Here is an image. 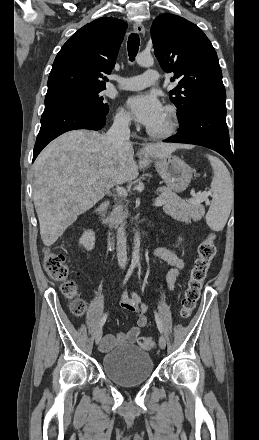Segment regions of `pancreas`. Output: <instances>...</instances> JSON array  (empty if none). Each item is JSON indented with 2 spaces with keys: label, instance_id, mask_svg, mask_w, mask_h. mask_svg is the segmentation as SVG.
<instances>
[{
  "label": "pancreas",
  "instance_id": "obj_1",
  "mask_svg": "<svg viewBox=\"0 0 259 440\" xmlns=\"http://www.w3.org/2000/svg\"><path fill=\"white\" fill-rule=\"evenodd\" d=\"M158 192L161 193V196L157 199H162L165 201L163 210L166 214L175 218L186 220H199L202 216H204L205 209L201 203H193L189 200L181 199L175 193H173L172 190L166 187H160ZM127 216V209L123 211V208L120 207L118 210L116 209L113 211L111 217L109 218V222L111 225L118 224L119 220H123Z\"/></svg>",
  "mask_w": 259,
  "mask_h": 440
}]
</instances>
